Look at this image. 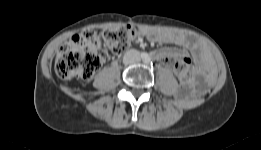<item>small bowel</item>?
<instances>
[{
	"mask_svg": "<svg viewBox=\"0 0 261 150\" xmlns=\"http://www.w3.org/2000/svg\"><path fill=\"white\" fill-rule=\"evenodd\" d=\"M142 35H144L149 41L153 43L162 44H174L181 46L191 51L195 59L201 64V66L207 71L208 76L213 74V64L209 56L206 47L195 41L194 39L181 34L170 33L166 31L143 29ZM172 51L169 49H162L153 51L151 56L155 59L163 61L164 57L170 54ZM202 83H199L201 85Z\"/></svg>",
	"mask_w": 261,
	"mask_h": 150,
	"instance_id": "c3829d8e",
	"label": "small bowel"
}]
</instances>
